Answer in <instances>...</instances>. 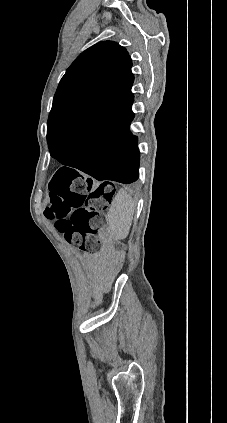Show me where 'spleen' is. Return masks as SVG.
Listing matches in <instances>:
<instances>
[{
	"mask_svg": "<svg viewBox=\"0 0 227 423\" xmlns=\"http://www.w3.org/2000/svg\"><path fill=\"white\" fill-rule=\"evenodd\" d=\"M134 210L135 202H133V198L125 190H119L107 213L109 227L116 239L127 237L132 225Z\"/></svg>",
	"mask_w": 227,
	"mask_h": 423,
	"instance_id": "obj_1",
	"label": "spleen"
}]
</instances>
